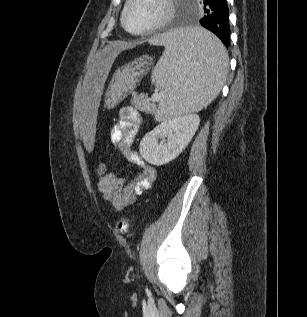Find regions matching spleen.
Here are the masks:
<instances>
[{
  "label": "spleen",
  "instance_id": "obj_1",
  "mask_svg": "<svg viewBox=\"0 0 307 317\" xmlns=\"http://www.w3.org/2000/svg\"><path fill=\"white\" fill-rule=\"evenodd\" d=\"M145 47H165L152 72V82L165 91L156 120L206 108L219 94L228 73V55L205 26H176L152 33Z\"/></svg>",
  "mask_w": 307,
  "mask_h": 317
}]
</instances>
